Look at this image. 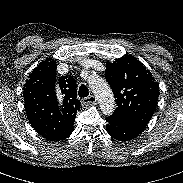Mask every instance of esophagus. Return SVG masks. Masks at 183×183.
Masks as SVG:
<instances>
[{"label":"esophagus","mask_w":183,"mask_h":183,"mask_svg":"<svg viewBox=\"0 0 183 183\" xmlns=\"http://www.w3.org/2000/svg\"><path fill=\"white\" fill-rule=\"evenodd\" d=\"M95 103H96V97L93 96V95H91V96H89V97H86V98H84V99L82 100V104H83V105H87V106H89V105H94Z\"/></svg>","instance_id":"34e87169"}]
</instances>
